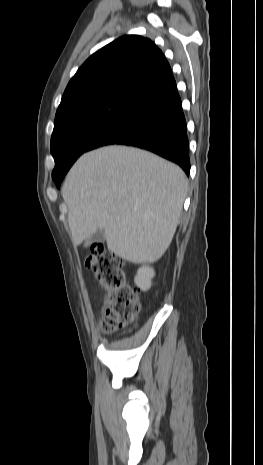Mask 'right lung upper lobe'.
Returning a JSON list of instances; mask_svg holds the SVG:
<instances>
[{
    "instance_id": "cb5924a9",
    "label": "right lung upper lobe",
    "mask_w": 263,
    "mask_h": 465,
    "mask_svg": "<svg viewBox=\"0 0 263 465\" xmlns=\"http://www.w3.org/2000/svg\"><path fill=\"white\" fill-rule=\"evenodd\" d=\"M171 76L169 63L150 39L137 35L120 37L78 69L65 89L56 116L96 98H136Z\"/></svg>"
}]
</instances>
